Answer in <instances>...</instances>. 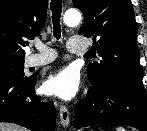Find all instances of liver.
<instances>
[{"label":"liver","mask_w":147,"mask_h":131,"mask_svg":"<svg viewBox=\"0 0 147 131\" xmlns=\"http://www.w3.org/2000/svg\"><path fill=\"white\" fill-rule=\"evenodd\" d=\"M0 131H26V130L15 124L0 122Z\"/></svg>","instance_id":"1"}]
</instances>
